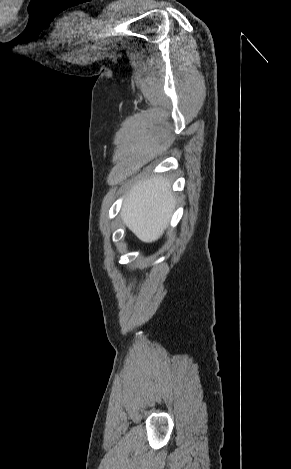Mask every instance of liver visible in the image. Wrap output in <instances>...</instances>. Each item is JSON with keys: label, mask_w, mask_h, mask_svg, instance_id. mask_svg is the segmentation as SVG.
Segmentation results:
<instances>
[{"label": "liver", "mask_w": 291, "mask_h": 469, "mask_svg": "<svg viewBox=\"0 0 291 469\" xmlns=\"http://www.w3.org/2000/svg\"><path fill=\"white\" fill-rule=\"evenodd\" d=\"M175 205L170 182L157 176L139 182L130 190L121 217L137 238L150 243L159 239L167 228Z\"/></svg>", "instance_id": "obj_1"}]
</instances>
